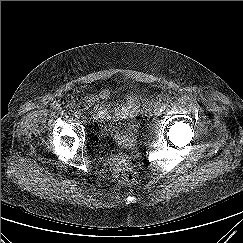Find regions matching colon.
Listing matches in <instances>:
<instances>
[{"instance_id":"5ec220e1","label":"colon","mask_w":243,"mask_h":243,"mask_svg":"<svg viewBox=\"0 0 243 243\" xmlns=\"http://www.w3.org/2000/svg\"><path fill=\"white\" fill-rule=\"evenodd\" d=\"M115 177L122 184L132 183L137 178V172L128 164H124L115 171Z\"/></svg>"}]
</instances>
